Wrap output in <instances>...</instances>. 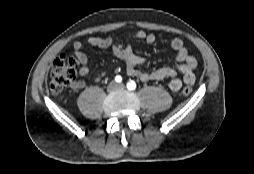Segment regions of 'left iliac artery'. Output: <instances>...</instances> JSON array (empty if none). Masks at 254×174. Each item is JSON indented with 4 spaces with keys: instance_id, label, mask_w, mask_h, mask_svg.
Instances as JSON below:
<instances>
[{
    "instance_id": "44dca946",
    "label": "left iliac artery",
    "mask_w": 254,
    "mask_h": 174,
    "mask_svg": "<svg viewBox=\"0 0 254 174\" xmlns=\"http://www.w3.org/2000/svg\"><path fill=\"white\" fill-rule=\"evenodd\" d=\"M127 88L129 89V90H134L135 88H136V83L134 82V81H129L128 83H127Z\"/></svg>"
}]
</instances>
